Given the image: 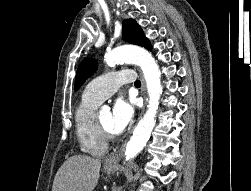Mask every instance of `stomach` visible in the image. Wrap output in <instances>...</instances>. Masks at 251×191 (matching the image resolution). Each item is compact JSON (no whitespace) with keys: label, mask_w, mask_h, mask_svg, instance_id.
I'll use <instances>...</instances> for the list:
<instances>
[{"label":"stomach","mask_w":251,"mask_h":191,"mask_svg":"<svg viewBox=\"0 0 251 191\" xmlns=\"http://www.w3.org/2000/svg\"><path fill=\"white\" fill-rule=\"evenodd\" d=\"M106 173H112V171H116L118 169V163L117 165H112V167H104Z\"/></svg>","instance_id":"1"}]
</instances>
